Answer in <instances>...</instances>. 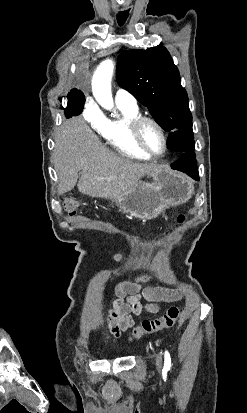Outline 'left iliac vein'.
Instances as JSON below:
<instances>
[{
	"instance_id": "left-iliac-vein-1",
	"label": "left iliac vein",
	"mask_w": 247,
	"mask_h": 413,
	"mask_svg": "<svg viewBox=\"0 0 247 413\" xmlns=\"http://www.w3.org/2000/svg\"><path fill=\"white\" fill-rule=\"evenodd\" d=\"M155 365L158 371L162 370L163 367V362H162V356L161 354H157L156 358H155Z\"/></svg>"
}]
</instances>
